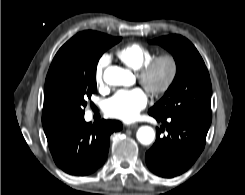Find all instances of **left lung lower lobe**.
<instances>
[{
  "mask_svg": "<svg viewBox=\"0 0 245 195\" xmlns=\"http://www.w3.org/2000/svg\"><path fill=\"white\" fill-rule=\"evenodd\" d=\"M163 126L157 128V138L152 148L146 152L149 169L158 176L172 178L187 171L204 149L211 119L172 114L160 116L148 111ZM167 136L160 137L162 130Z\"/></svg>",
  "mask_w": 245,
  "mask_h": 195,
  "instance_id": "0a47b994",
  "label": "left lung lower lobe"
}]
</instances>
